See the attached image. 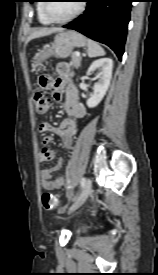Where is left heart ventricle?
I'll list each match as a JSON object with an SVG mask.
<instances>
[{
    "label": "left heart ventricle",
    "instance_id": "b2bd125f",
    "mask_svg": "<svg viewBox=\"0 0 158 275\" xmlns=\"http://www.w3.org/2000/svg\"><path fill=\"white\" fill-rule=\"evenodd\" d=\"M80 1H52L49 4V12L55 18H66L73 14Z\"/></svg>",
    "mask_w": 158,
    "mask_h": 275
}]
</instances>
